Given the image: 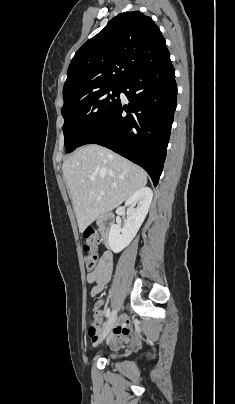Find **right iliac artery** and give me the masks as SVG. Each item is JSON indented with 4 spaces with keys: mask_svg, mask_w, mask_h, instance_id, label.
<instances>
[{
    "mask_svg": "<svg viewBox=\"0 0 235 404\" xmlns=\"http://www.w3.org/2000/svg\"><path fill=\"white\" fill-rule=\"evenodd\" d=\"M111 316H113V312L111 313L110 309L108 308L107 311H106V318L110 319Z\"/></svg>",
    "mask_w": 235,
    "mask_h": 404,
    "instance_id": "right-iliac-artery-1",
    "label": "right iliac artery"
}]
</instances>
